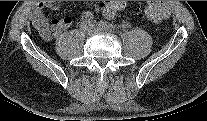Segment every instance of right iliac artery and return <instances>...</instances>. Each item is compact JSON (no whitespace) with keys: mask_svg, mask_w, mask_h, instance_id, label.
I'll use <instances>...</instances> for the list:
<instances>
[{"mask_svg":"<svg viewBox=\"0 0 207 121\" xmlns=\"http://www.w3.org/2000/svg\"><path fill=\"white\" fill-rule=\"evenodd\" d=\"M93 18H94V16L91 12L87 11V12L83 13L82 19L85 22L91 23L93 21Z\"/></svg>","mask_w":207,"mask_h":121,"instance_id":"1","label":"right iliac artery"}]
</instances>
